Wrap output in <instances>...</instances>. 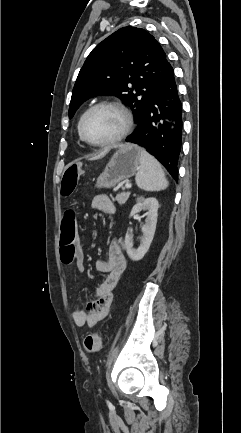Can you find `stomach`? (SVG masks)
Returning <instances> with one entry per match:
<instances>
[{
    "label": "stomach",
    "mask_w": 241,
    "mask_h": 433,
    "mask_svg": "<svg viewBox=\"0 0 241 433\" xmlns=\"http://www.w3.org/2000/svg\"><path fill=\"white\" fill-rule=\"evenodd\" d=\"M140 153L141 148L137 145L121 146L97 178L95 187L112 188L119 182L132 177L139 169Z\"/></svg>",
    "instance_id": "1"
}]
</instances>
